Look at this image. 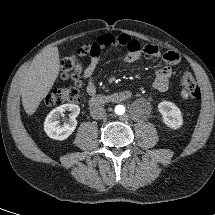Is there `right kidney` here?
Masks as SVG:
<instances>
[{
  "label": "right kidney",
  "mask_w": 215,
  "mask_h": 215,
  "mask_svg": "<svg viewBox=\"0 0 215 215\" xmlns=\"http://www.w3.org/2000/svg\"><path fill=\"white\" fill-rule=\"evenodd\" d=\"M67 111L70 112V117L61 124L59 118ZM79 113L80 108L75 104H64L53 109L47 115L44 122V130L46 134L55 140H64L68 138L77 126L76 117Z\"/></svg>",
  "instance_id": "obj_1"
}]
</instances>
